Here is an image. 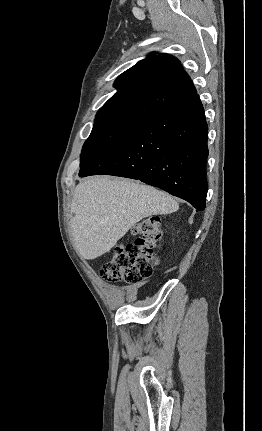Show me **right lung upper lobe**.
Returning <instances> with one entry per match:
<instances>
[{"instance_id": "cb5924a9", "label": "right lung upper lobe", "mask_w": 262, "mask_h": 431, "mask_svg": "<svg viewBox=\"0 0 262 431\" xmlns=\"http://www.w3.org/2000/svg\"><path fill=\"white\" fill-rule=\"evenodd\" d=\"M117 92L97 112L94 125L138 122L197 95L180 62L151 53L115 81Z\"/></svg>"}]
</instances>
